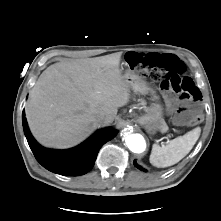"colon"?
<instances>
[{
  "label": "colon",
  "mask_w": 221,
  "mask_h": 221,
  "mask_svg": "<svg viewBox=\"0 0 221 221\" xmlns=\"http://www.w3.org/2000/svg\"><path fill=\"white\" fill-rule=\"evenodd\" d=\"M128 61L139 74L160 82L162 89L179 96L181 108L177 114L182 121L198 124L202 120L200 112L194 109L200 99L199 90L186 74V66L178 57L150 52L141 62L139 56L131 52Z\"/></svg>",
  "instance_id": "colon-1"
}]
</instances>
